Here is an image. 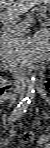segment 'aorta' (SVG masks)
Wrapping results in <instances>:
<instances>
[{"mask_svg": "<svg viewBox=\"0 0 50 148\" xmlns=\"http://www.w3.org/2000/svg\"><path fill=\"white\" fill-rule=\"evenodd\" d=\"M36 81H37L36 74H32L28 81L27 94H26V98L24 99L26 103L31 101L35 96Z\"/></svg>", "mask_w": 50, "mask_h": 148, "instance_id": "obj_1", "label": "aorta"}]
</instances>
